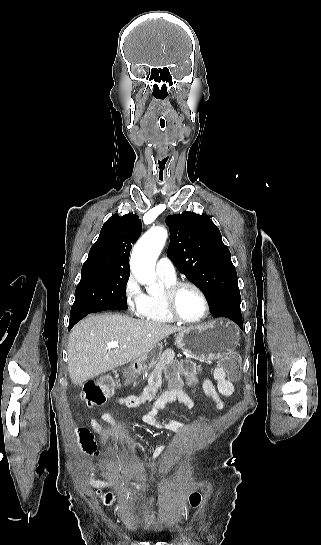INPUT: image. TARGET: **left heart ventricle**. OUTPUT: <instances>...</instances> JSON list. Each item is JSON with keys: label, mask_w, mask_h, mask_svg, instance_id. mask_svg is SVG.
I'll list each match as a JSON object with an SVG mask.
<instances>
[{"label": "left heart ventricle", "mask_w": 321, "mask_h": 545, "mask_svg": "<svg viewBox=\"0 0 321 545\" xmlns=\"http://www.w3.org/2000/svg\"><path fill=\"white\" fill-rule=\"evenodd\" d=\"M175 307L179 316L188 321L199 319L204 312L201 297L191 288H185L177 295Z\"/></svg>", "instance_id": "1"}]
</instances>
